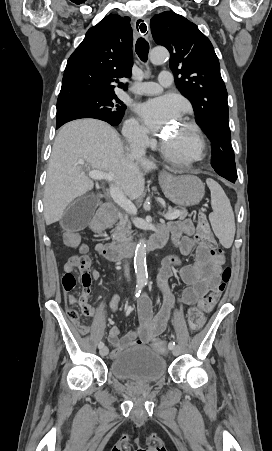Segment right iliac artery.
<instances>
[{"instance_id":"82829eb1","label":"right iliac artery","mask_w":272,"mask_h":451,"mask_svg":"<svg viewBox=\"0 0 272 451\" xmlns=\"http://www.w3.org/2000/svg\"><path fill=\"white\" fill-rule=\"evenodd\" d=\"M144 285H146V282H138L137 283L134 298H138L140 296V293H141ZM98 346H99V348H102L104 346V343L100 342Z\"/></svg>"}]
</instances>
